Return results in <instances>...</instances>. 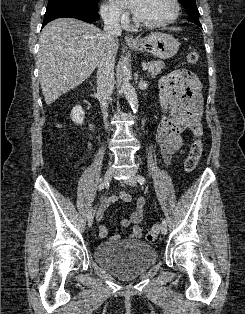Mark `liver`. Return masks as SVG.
I'll return each instance as SVG.
<instances>
[{"instance_id":"obj_1","label":"liver","mask_w":245,"mask_h":314,"mask_svg":"<svg viewBox=\"0 0 245 314\" xmlns=\"http://www.w3.org/2000/svg\"><path fill=\"white\" fill-rule=\"evenodd\" d=\"M37 66L41 89L49 106L64 93L83 83L109 53L115 59L118 39L93 24L73 18L48 23L39 37Z\"/></svg>"}]
</instances>
